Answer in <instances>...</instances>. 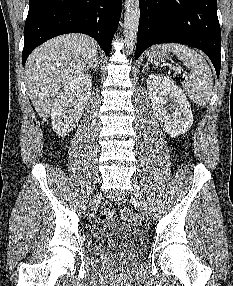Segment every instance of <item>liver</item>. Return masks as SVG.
<instances>
[{"instance_id": "liver-1", "label": "liver", "mask_w": 233, "mask_h": 286, "mask_svg": "<svg viewBox=\"0 0 233 286\" xmlns=\"http://www.w3.org/2000/svg\"><path fill=\"white\" fill-rule=\"evenodd\" d=\"M97 50L98 45L91 37L67 34L47 41L31 53L26 63L27 89L43 120L49 117L60 88L94 64Z\"/></svg>"}]
</instances>
